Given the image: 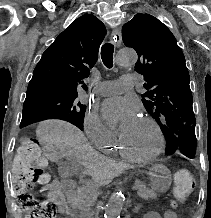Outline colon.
Segmentation results:
<instances>
[{
	"instance_id": "1",
	"label": "colon",
	"mask_w": 211,
	"mask_h": 218,
	"mask_svg": "<svg viewBox=\"0 0 211 218\" xmlns=\"http://www.w3.org/2000/svg\"><path fill=\"white\" fill-rule=\"evenodd\" d=\"M12 177L19 201L26 211V218H56L54 204L44 197H36L30 192L34 184H45L49 176L46 160L40 150L38 140L28 139L16 152ZM174 195L177 201H185L195 186V179L189 170L181 169L174 175Z\"/></svg>"
}]
</instances>
